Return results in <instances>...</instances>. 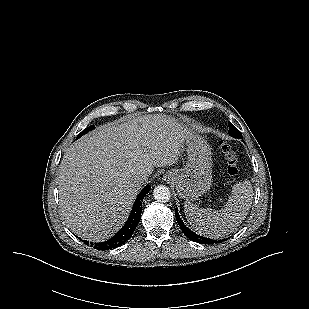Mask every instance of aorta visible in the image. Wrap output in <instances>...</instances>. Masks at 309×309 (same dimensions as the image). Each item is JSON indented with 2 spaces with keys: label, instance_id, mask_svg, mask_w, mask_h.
Here are the masks:
<instances>
[{
  "label": "aorta",
  "instance_id": "aorta-1",
  "mask_svg": "<svg viewBox=\"0 0 309 309\" xmlns=\"http://www.w3.org/2000/svg\"><path fill=\"white\" fill-rule=\"evenodd\" d=\"M153 196L158 202H168L170 200L171 193L167 186L159 185L154 188Z\"/></svg>",
  "mask_w": 309,
  "mask_h": 309
}]
</instances>
